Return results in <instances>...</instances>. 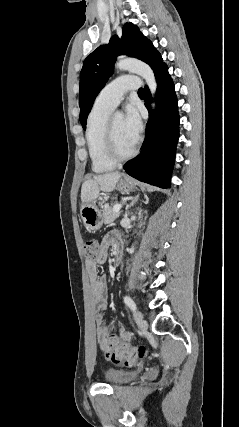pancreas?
Returning a JSON list of instances; mask_svg holds the SVG:
<instances>
[{
    "instance_id": "obj_1",
    "label": "pancreas",
    "mask_w": 239,
    "mask_h": 427,
    "mask_svg": "<svg viewBox=\"0 0 239 427\" xmlns=\"http://www.w3.org/2000/svg\"><path fill=\"white\" fill-rule=\"evenodd\" d=\"M102 216L104 224H110L119 217L120 213H115L109 205H105L102 209Z\"/></svg>"
}]
</instances>
